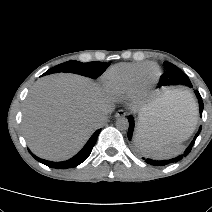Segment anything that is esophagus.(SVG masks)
Wrapping results in <instances>:
<instances>
[{
	"mask_svg": "<svg viewBox=\"0 0 212 212\" xmlns=\"http://www.w3.org/2000/svg\"><path fill=\"white\" fill-rule=\"evenodd\" d=\"M126 115V112L122 109L118 110L116 113H115V117L116 118H119V117H124Z\"/></svg>",
	"mask_w": 212,
	"mask_h": 212,
	"instance_id": "obj_1",
	"label": "esophagus"
}]
</instances>
